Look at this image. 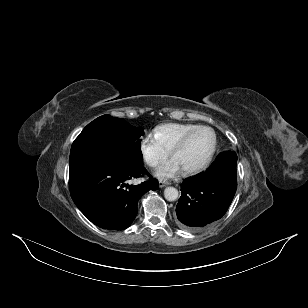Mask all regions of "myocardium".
Wrapping results in <instances>:
<instances>
[{
  "label": "myocardium",
  "instance_id": "1",
  "mask_svg": "<svg viewBox=\"0 0 308 308\" xmlns=\"http://www.w3.org/2000/svg\"><path fill=\"white\" fill-rule=\"evenodd\" d=\"M202 130H207L210 131L213 135V146L208 154V156L205 158V160L200 163L199 165L192 167V168H188L183 170V173L186 175H193V174H197L201 171H203L204 169H206L209 164L211 163L216 151H217V147H218V137L216 132L209 126H199L191 131H189L188 133H186L174 146L173 148L170 150V156L173 157L174 154H176L177 152H179L180 150H182L186 144L189 142V140L199 131Z\"/></svg>",
  "mask_w": 308,
  "mask_h": 308
}]
</instances>
